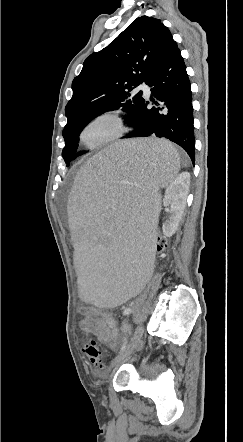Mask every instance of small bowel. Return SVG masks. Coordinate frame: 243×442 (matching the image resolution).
I'll return each instance as SVG.
<instances>
[{
	"label": "small bowel",
	"instance_id": "obj_1",
	"mask_svg": "<svg viewBox=\"0 0 243 442\" xmlns=\"http://www.w3.org/2000/svg\"><path fill=\"white\" fill-rule=\"evenodd\" d=\"M83 319L80 327L86 335H95L101 342L111 349H116L119 343V333L114 317L95 307H83L81 309ZM124 329L128 330L127 325Z\"/></svg>",
	"mask_w": 243,
	"mask_h": 442
}]
</instances>
